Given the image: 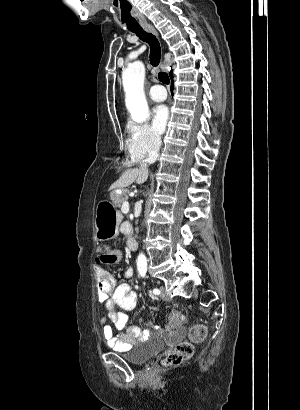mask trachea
Wrapping results in <instances>:
<instances>
[{
	"mask_svg": "<svg viewBox=\"0 0 300 410\" xmlns=\"http://www.w3.org/2000/svg\"><path fill=\"white\" fill-rule=\"evenodd\" d=\"M131 32L135 33L139 39L148 43L150 46V63L152 66L157 67L160 63L161 48L158 39L152 34L140 29H131ZM159 80L164 84H169L170 79L167 73L159 72Z\"/></svg>",
	"mask_w": 300,
	"mask_h": 410,
	"instance_id": "3493384b",
	"label": "trachea"
}]
</instances>
